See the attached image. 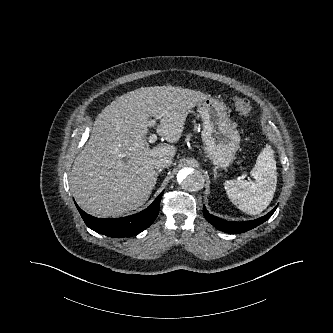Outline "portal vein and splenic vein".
Segmentation results:
<instances>
[{"label":"portal vein and splenic vein","instance_id":"18ae733b","mask_svg":"<svg viewBox=\"0 0 333 333\" xmlns=\"http://www.w3.org/2000/svg\"><path fill=\"white\" fill-rule=\"evenodd\" d=\"M155 120H151V121H149V125L151 126H153L154 124H155ZM157 140V135L156 134H151L150 136H149V138H148V141L150 142V143H154L155 141Z\"/></svg>","mask_w":333,"mask_h":333}]
</instances>
